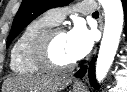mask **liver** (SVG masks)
Instances as JSON below:
<instances>
[{"label": "liver", "instance_id": "obj_1", "mask_svg": "<svg viewBox=\"0 0 127 92\" xmlns=\"http://www.w3.org/2000/svg\"><path fill=\"white\" fill-rule=\"evenodd\" d=\"M70 83L67 77L53 75L16 76L4 82L3 92H60Z\"/></svg>", "mask_w": 127, "mask_h": 92}]
</instances>
